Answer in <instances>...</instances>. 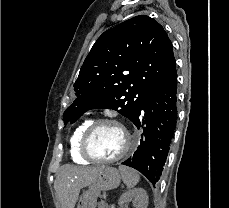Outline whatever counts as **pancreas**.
I'll return each instance as SVG.
<instances>
[{"label":"pancreas","instance_id":"1","mask_svg":"<svg viewBox=\"0 0 229 208\" xmlns=\"http://www.w3.org/2000/svg\"><path fill=\"white\" fill-rule=\"evenodd\" d=\"M98 208H109V206L106 204V202H104V200H101V202L98 204Z\"/></svg>","mask_w":229,"mask_h":208}]
</instances>
